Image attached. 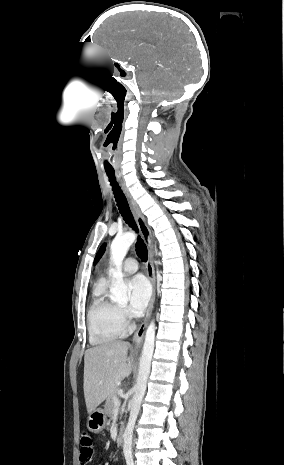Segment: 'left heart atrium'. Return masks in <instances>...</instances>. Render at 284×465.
Listing matches in <instances>:
<instances>
[{"label": "left heart atrium", "instance_id": "left-heart-atrium-1", "mask_svg": "<svg viewBox=\"0 0 284 465\" xmlns=\"http://www.w3.org/2000/svg\"><path fill=\"white\" fill-rule=\"evenodd\" d=\"M130 302L129 310L132 314L142 312L150 299V286L142 275H136L129 280Z\"/></svg>", "mask_w": 284, "mask_h": 465}]
</instances>
